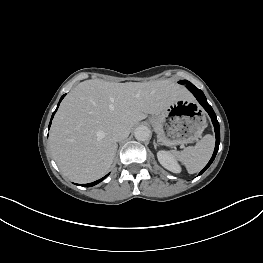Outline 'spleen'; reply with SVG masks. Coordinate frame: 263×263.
<instances>
[{"instance_id": "obj_1", "label": "spleen", "mask_w": 263, "mask_h": 263, "mask_svg": "<svg viewBox=\"0 0 263 263\" xmlns=\"http://www.w3.org/2000/svg\"><path fill=\"white\" fill-rule=\"evenodd\" d=\"M214 137L205 135L195 146L186 147L181 152H174L175 156L185 165L188 173L194 174L204 168L210 160L214 150Z\"/></svg>"}]
</instances>
